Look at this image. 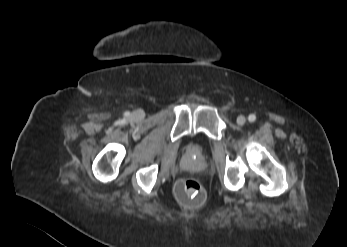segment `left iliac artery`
<instances>
[{"instance_id":"left-iliac-artery-1","label":"left iliac artery","mask_w":347,"mask_h":247,"mask_svg":"<svg viewBox=\"0 0 347 247\" xmlns=\"http://www.w3.org/2000/svg\"><path fill=\"white\" fill-rule=\"evenodd\" d=\"M248 120H249V122H254L255 120H256V116L254 115V114H250L249 116H248Z\"/></svg>"}]
</instances>
